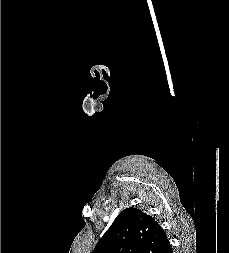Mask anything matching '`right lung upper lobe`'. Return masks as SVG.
I'll list each match as a JSON object with an SVG mask.
<instances>
[{"label":"right lung upper lobe","mask_w":229,"mask_h":253,"mask_svg":"<svg viewBox=\"0 0 229 253\" xmlns=\"http://www.w3.org/2000/svg\"><path fill=\"white\" fill-rule=\"evenodd\" d=\"M169 245L157 221L131 207L116 217L93 253H163Z\"/></svg>","instance_id":"obj_1"}]
</instances>
